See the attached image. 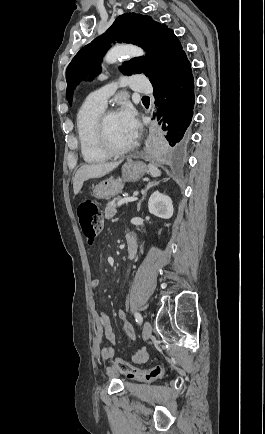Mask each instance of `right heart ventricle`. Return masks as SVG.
<instances>
[{"label":"right heart ventricle","mask_w":265,"mask_h":434,"mask_svg":"<svg viewBox=\"0 0 265 434\" xmlns=\"http://www.w3.org/2000/svg\"><path fill=\"white\" fill-rule=\"evenodd\" d=\"M105 110L103 103H91L85 99L76 113V130L80 152L85 163L99 165L109 156L104 152L99 134V119Z\"/></svg>","instance_id":"obj_1"}]
</instances>
